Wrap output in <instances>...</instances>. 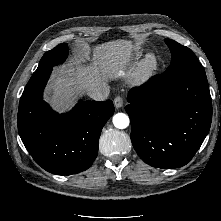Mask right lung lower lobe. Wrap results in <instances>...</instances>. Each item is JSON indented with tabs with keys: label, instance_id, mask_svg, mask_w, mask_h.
<instances>
[{
	"label": "right lung lower lobe",
	"instance_id": "98d812e1",
	"mask_svg": "<svg viewBox=\"0 0 221 221\" xmlns=\"http://www.w3.org/2000/svg\"><path fill=\"white\" fill-rule=\"evenodd\" d=\"M53 67L35 71L21 96L18 131L36 163L48 172L71 175L88 169L98 153L101 130L114 113L111 100L79 101L57 114L43 101Z\"/></svg>",
	"mask_w": 221,
	"mask_h": 221
}]
</instances>
